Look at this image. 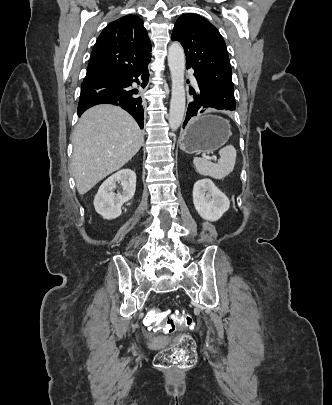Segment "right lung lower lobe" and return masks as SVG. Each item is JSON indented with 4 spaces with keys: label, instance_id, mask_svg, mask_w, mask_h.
<instances>
[{
    "label": "right lung lower lobe",
    "instance_id": "1",
    "mask_svg": "<svg viewBox=\"0 0 332 405\" xmlns=\"http://www.w3.org/2000/svg\"><path fill=\"white\" fill-rule=\"evenodd\" d=\"M149 62L128 72L116 75H103L84 79L78 104V116L88 108L102 103L118 105L128 111L140 128L144 123V107L138 90L132 89L133 82L144 88L148 83ZM142 80V81H140Z\"/></svg>",
    "mask_w": 332,
    "mask_h": 405
}]
</instances>
